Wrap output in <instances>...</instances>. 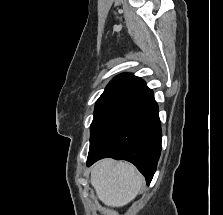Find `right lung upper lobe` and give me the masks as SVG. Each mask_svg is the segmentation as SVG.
<instances>
[{"label":"right lung upper lobe","instance_id":"1","mask_svg":"<svg viewBox=\"0 0 223 215\" xmlns=\"http://www.w3.org/2000/svg\"><path fill=\"white\" fill-rule=\"evenodd\" d=\"M113 92H128L142 95L146 98L153 94V91L146 86V83L142 79L129 73H124L115 77L108 84L102 95Z\"/></svg>","mask_w":223,"mask_h":215}]
</instances>
